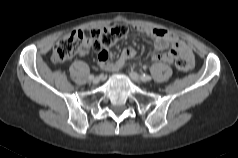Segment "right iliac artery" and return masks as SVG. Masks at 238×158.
Masks as SVG:
<instances>
[{
  "instance_id": "right-iliac-artery-1",
  "label": "right iliac artery",
  "mask_w": 238,
  "mask_h": 158,
  "mask_svg": "<svg viewBox=\"0 0 238 158\" xmlns=\"http://www.w3.org/2000/svg\"><path fill=\"white\" fill-rule=\"evenodd\" d=\"M89 80H93L94 79V75H89Z\"/></svg>"
}]
</instances>
